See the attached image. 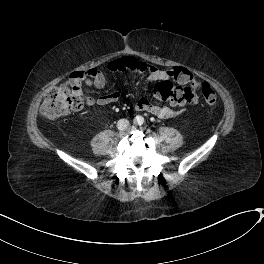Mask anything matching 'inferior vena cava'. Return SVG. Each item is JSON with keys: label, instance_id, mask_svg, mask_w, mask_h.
<instances>
[{"label": "inferior vena cava", "instance_id": "602c4592", "mask_svg": "<svg viewBox=\"0 0 264 264\" xmlns=\"http://www.w3.org/2000/svg\"><path fill=\"white\" fill-rule=\"evenodd\" d=\"M129 122L126 119H121L118 121L117 126L119 129H125L128 126Z\"/></svg>", "mask_w": 264, "mask_h": 264}]
</instances>
